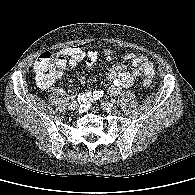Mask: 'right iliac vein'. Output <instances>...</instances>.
I'll return each mask as SVG.
<instances>
[{
	"label": "right iliac vein",
	"mask_w": 195,
	"mask_h": 195,
	"mask_svg": "<svg viewBox=\"0 0 195 195\" xmlns=\"http://www.w3.org/2000/svg\"><path fill=\"white\" fill-rule=\"evenodd\" d=\"M77 106H78V103L75 100L71 101L70 104H69V107L71 109H75V108H77Z\"/></svg>",
	"instance_id": "1"
}]
</instances>
